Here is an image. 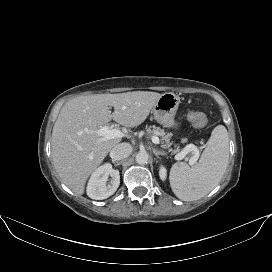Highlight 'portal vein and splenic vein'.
I'll return each mask as SVG.
<instances>
[{
    "label": "portal vein and splenic vein",
    "instance_id": "1",
    "mask_svg": "<svg viewBox=\"0 0 272 272\" xmlns=\"http://www.w3.org/2000/svg\"><path fill=\"white\" fill-rule=\"evenodd\" d=\"M86 131H87V133H91V134L95 133L98 136L102 137V139L122 138L124 136V134L119 129H111L108 126H104V127H101L100 129L93 130V131H89V130H86ZM152 142L154 144H159L160 140L157 136H153ZM192 150L194 152H193V156L189 159V164H190V166L193 167L199 158V150L193 144L188 145V148H186L183 151H181L180 153H178L175 156V159L182 160L186 156V154Z\"/></svg>",
    "mask_w": 272,
    "mask_h": 272
}]
</instances>
